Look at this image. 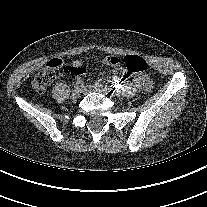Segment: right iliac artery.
<instances>
[{
  "mask_svg": "<svg viewBox=\"0 0 207 207\" xmlns=\"http://www.w3.org/2000/svg\"><path fill=\"white\" fill-rule=\"evenodd\" d=\"M83 85H84V82L79 79L75 84V88H81L83 87Z\"/></svg>",
  "mask_w": 207,
  "mask_h": 207,
  "instance_id": "obj_1",
  "label": "right iliac artery"
}]
</instances>
